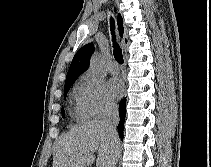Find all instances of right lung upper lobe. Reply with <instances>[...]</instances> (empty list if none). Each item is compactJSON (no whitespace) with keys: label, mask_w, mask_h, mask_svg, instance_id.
<instances>
[{"label":"right lung upper lobe","mask_w":211,"mask_h":167,"mask_svg":"<svg viewBox=\"0 0 211 167\" xmlns=\"http://www.w3.org/2000/svg\"><path fill=\"white\" fill-rule=\"evenodd\" d=\"M117 21H118L119 34L122 37L124 28H123V19L120 14H118ZM93 51H94V46L92 43L86 44L85 46H83L82 48L78 50L68 70V73L66 76V82L71 81V80H76V78L79 75H81L83 72H85L88 69L90 57Z\"/></svg>","instance_id":"obj_1"}]
</instances>
